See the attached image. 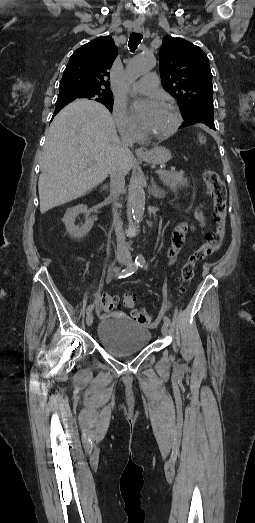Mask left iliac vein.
I'll return each instance as SVG.
<instances>
[{
	"instance_id": "obj_1",
	"label": "left iliac vein",
	"mask_w": 255,
	"mask_h": 523,
	"mask_svg": "<svg viewBox=\"0 0 255 523\" xmlns=\"http://www.w3.org/2000/svg\"><path fill=\"white\" fill-rule=\"evenodd\" d=\"M161 332H162L163 336H166L168 334L169 329H168V325L166 323H164L162 325Z\"/></svg>"
}]
</instances>
